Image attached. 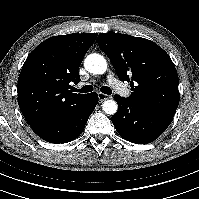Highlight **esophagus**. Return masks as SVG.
<instances>
[{"label":"esophagus","mask_w":199,"mask_h":199,"mask_svg":"<svg viewBox=\"0 0 199 199\" xmlns=\"http://www.w3.org/2000/svg\"><path fill=\"white\" fill-rule=\"evenodd\" d=\"M98 98L100 101H104V100L108 99L109 96L104 93L98 92Z\"/></svg>","instance_id":"obj_1"}]
</instances>
